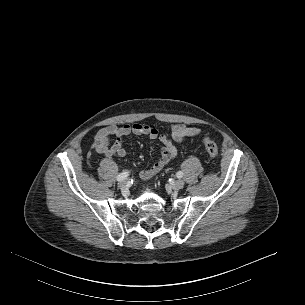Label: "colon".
Here are the masks:
<instances>
[{
  "instance_id": "obj_1",
  "label": "colon",
  "mask_w": 305,
  "mask_h": 305,
  "mask_svg": "<svg viewBox=\"0 0 305 305\" xmlns=\"http://www.w3.org/2000/svg\"><path fill=\"white\" fill-rule=\"evenodd\" d=\"M203 143L211 159H215L218 155V147L216 143L208 136L203 137Z\"/></svg>"
}]
</instances>
